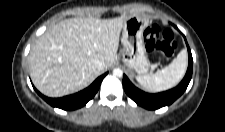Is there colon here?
Listing matches in <instances>:
<instances>
[{"label":"colon","mask_w":225,"mask_h":132,"mask_svg":"<svg viewBox=\"0 0 225 132\" xmlns=\"http://www.w3.org/2000/svg\"><path fill=\"white\" fill-rule=\"evenodd\" d=\"M144 41L148 50L163 57L172 56L177 47L173 33L170 30H162L157 25L145 29Z\"/></svg>","instance_id":"1"}]
</instances>
